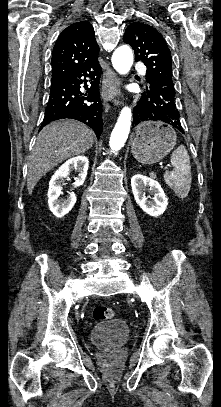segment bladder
<instances>
[{
    "instance_id": "obj_1",
    "label": "bladder",
    "mask_w": 221,
    "mask_h": 407,
    "mask_svg": "<svg viewBox=\"0 0 221 407\" xmlns=\"http://www.w3.org/2000/svg\"><path fill=\"white\" fill-rule=\"evenodd\" d=\"M130 338V327L124 319L108 324H96L90 330V340L97 346L121 347Z\"/></svg>"
}]
</instances>
